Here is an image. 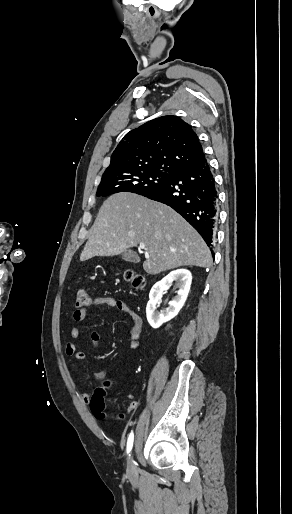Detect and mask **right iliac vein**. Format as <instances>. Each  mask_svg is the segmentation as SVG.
<instances>
[{"label": "right iliac vein", "mask_w": 292, "mask_h": 514, "mask_svg": "<svg viewBox=\"0 0 292 514\" xmlns=\"http://www.w3.org/2000/svg\"><path fill=\"white\" fill-rule=\"evenodd\" d=\"M127 475L128 477L130 478H133L135 477L136 475V463L133 459V456H131L128 460V464H127Z\"/></svg>", "instance_id": "1"}]
</instances>
